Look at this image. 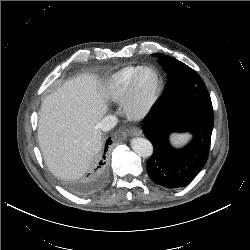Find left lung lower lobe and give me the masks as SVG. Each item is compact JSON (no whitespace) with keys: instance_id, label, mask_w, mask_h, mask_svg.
<instances>
[{"instance_id":"left-lung-lower-lobe-1","label":"left lung lower lobe","mask_w":250,"mask_h":250,"mask_svg":"<svg viewBox=\"0 0 250 250\" xmlns=\"http://www.w3.org/2000/svg\"><path fill=\"white\" fill-rule=\"evenodd\" d=\"M143 133L154 147L146 163L150 178L158 185L178 188L188 185L205 165L213 129V108L205 87H196L158 99L143 121ZM189 131L191 142L175 149L173 132Z\"/></svg>"}]
</instances>
